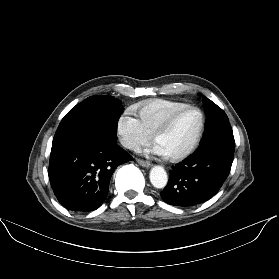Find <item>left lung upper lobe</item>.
Returning <instances> with one entry per match:
<instances>
[{
    "mask_svg": "<svg viewBox=\"0 0 279 279\" xmlns=\"http://www.w3.org/2000/svg\"><path fill=\"white\" fill-rule=\"evenodd\" d=\"M204 107L207 118L200 149L208 144L219 143L234 150V136L225 112L206 97Z\"/></svg>",
    "mask_w": 279,
    "mask_h": 279,
    "instance_id": "1",
    "label": "left lung upper lobe"
}]
</instances>
